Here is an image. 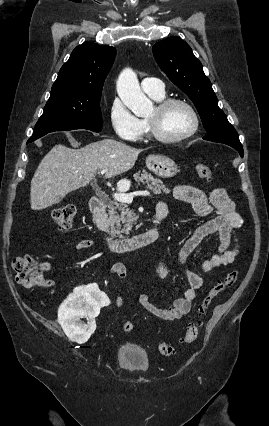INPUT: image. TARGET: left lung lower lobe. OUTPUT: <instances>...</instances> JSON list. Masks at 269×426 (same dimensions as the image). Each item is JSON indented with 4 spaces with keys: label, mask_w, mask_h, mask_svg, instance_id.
<instances>
[{
    "label": "left lung lower lobe",
    "mask_w": 269,
    "mask_h": 426,
    "mask_svg": "<svg viewBox=\"0 0 269 426\" xmlns=\"http://www.w3.org/2000/svg\"><path fill=\"white\" fill-rule=\"evenodd\" d=\"M204 139L207 140L206 137H204ZM222 143L233 147L239 152L240 156L243 157V147L241 143H229V142H222Z\"/></svg>",
    "instance_id": "obj_1"
}]
</instances>
